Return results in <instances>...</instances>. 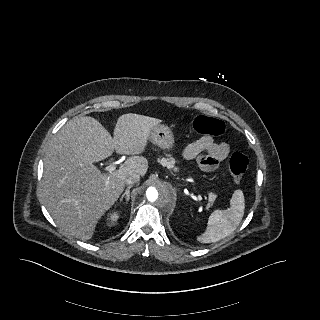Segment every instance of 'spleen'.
<instances>
[{
	"instance_id": "3e777b00",
	"label": "spleen",
	"mask_w": 320,
	"mask_h": 320,
	"mask_svg": "<svg viewBox=\"0 0 320 320\" xmlns=\"http://www.w3.org/2000/svg\"><path fill=\"white\" fill-rule=\"evenodd\" d=\"M244 209L243 192L236 190L230 199V208L214 211L208 218L205 232L197 240L201 243H213L229 236L242 221Z\"/></svg>"
}]
</instances>
